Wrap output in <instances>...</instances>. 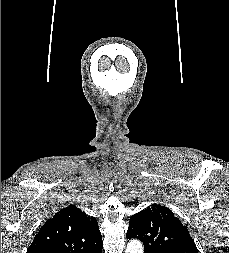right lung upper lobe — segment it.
I'll return each mask as SVG.
<instances>
[{"mask_svg":"<svg viewBox=\"0 0 229 253\" xmlns=\"http://www.w3.org/2000/svg\"><path fill=\"white\" fill-rule=\"evenodd\" d=\"M101 247L97 220L72 205L43 224L27 253H94Z\"/></svg>","mask_w":229,"mask_h":253,"instance_id":"right-lung-upper-lobe-1","label":"right lung upper lobe"}]
</instances>
